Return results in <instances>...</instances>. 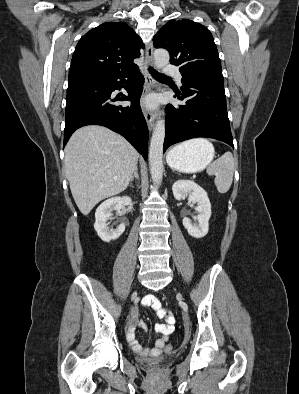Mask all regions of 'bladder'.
<instances>
[{"instance_id": "1", "label": "bladder", "mask_w": 299, "mask_h": 394, "mask_svg": "<svg viewBox=\"0 0 299 394\" xmlns=\"http://www.w3.org/2000/svg\"><path fill=\"white\" fill-rule=\"evenodd\" d=\"M170 360V357L165 356V357H161L159 359L156 360H141V363L144 364L145 366H157V365H161L164 363H167Z\"/></svg>"}]
</instances>
